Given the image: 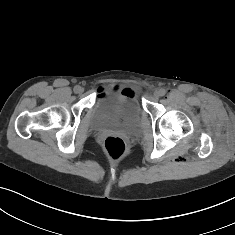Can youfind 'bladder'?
<instances>
[{
    "instance_id": "bladder-1",
    "label": "bladder",
    "mask_w": 235,
    "mask_h": 235,
    "mask_svg": "<svg viewBox=\"0 0 235 235\" xmlns=\"http://www.w3.org/2000/svg\"><path fill=\"white\" fill-rule=\"evenodd\" d=\"M143 111L134 92L119 87L108 88L100 94L91 109V126L96 130H136Z\"/></svg>"
}]
</instances>
